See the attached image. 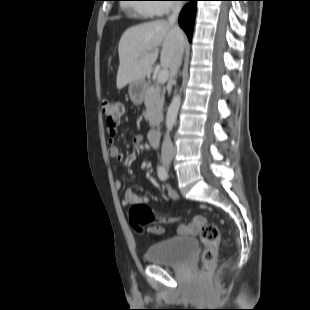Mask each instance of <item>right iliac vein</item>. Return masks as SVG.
Wrapping results in <instances>:
<instances>
[{
	"mask_svg": "<svg viewBox=\"0 0 310 310\" xmlns=\"http://www.w3.org/2000/svg\"><path fill=\"white\" fill-rule=\"evenodd\" d=\"M172 161L171 157H163V163L165 166H169Z\"/></svg>",
	"mask_w": 310,
	"mask_h": 310,
	"instance_id": "1",
	"label": "right iliac vein"
}]
</instances>
